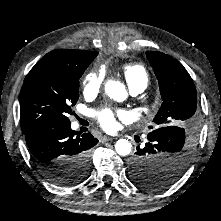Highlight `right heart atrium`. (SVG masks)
Here are the masks:
<instances>
[{
	"instance_id": "d8ad5b80",
	"label": "right heart atrium",
	"mask_w": 221,
	"mask_h": 221,
	"mask_svg": "<svg viewBox=\"0 0 221 221\" xmlns=\"http://www.w3.org/2000/svg\"><path fill=\"white\" fill-rule=\"evenodd\" d=\"M104 83V73L93 70L87 73L82 81L83 92L86 96H93L101 90Z\"/></svg>"
}]
</instances>
